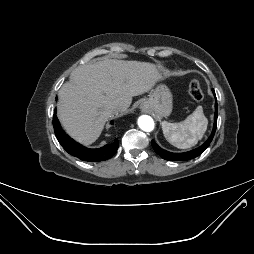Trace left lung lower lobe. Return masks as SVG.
I'll use <instances>...</instances> for the list:
<instances>
[{
	"label": "left lung lower lobe",
	"instance_id": "obj_1",
	"mask_svg": "<svg viewBox=\"0 0 254 254\" xmlns=\"http://www.w3.org/2000/svg\"><path fill=\"white\" fill-rule=\"evenodd\" d=\"M213 93H214V90H213ZM217 117H218V105H217V100H216V102H215L214 126H213L212 133H211L210 137L208 138V140L202 146H200L197 149H194V150L189 151V152H184V153H172V152H168V151L163 150L162 148H160L155 143V141H153V140H152V147H153L154 151L165 160H169V161H186V160L193 159V158L201 155L209 147V145H210V143H211V141L214 137L215 131H216Z\"/></svg>",
	"mask_w": 254,
	"mask_h": 254
}]
</instances>
